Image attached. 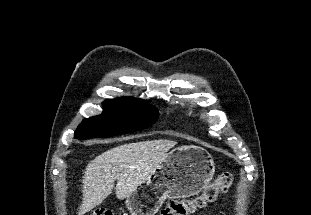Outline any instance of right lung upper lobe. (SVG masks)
Masks as SVG:
<instances>
[{
	"label": "right lung upper lobe",
	"instance_id": "cb5924a9",
	"mask_svg": "<svg viewBox=\"0 0 311 215\" xmlns=\"http://www.w3.org/2000/svg\"><path fill=\"white\" fill-rule=\"evenodd\" d=\"M116 100L136 102V103H149V101H147V100H140V99H136V98H117Z\"/></svg>",
	"mask_w": 311,
	"mask_h": 215
}]
</instances>
